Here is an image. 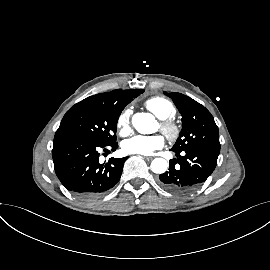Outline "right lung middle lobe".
Instances as JSON below:
<instances>
[{
    "label": "right lung middle lobe",
    "mask_w": 270,
    "mask_h": 270,
    "mask_svg": "<svg viewBox=\"0 0 270 270\" xmlns=\"http://www.w3.org/2000/svg\"><path fill=\"white\" fill-rule=\"evenodd\" d=\"M121 110L92 96L76 103L64 115L55 137L72 135L88 138L101 145L116 142L117 121Z\"/></svg>",
    "instance_id": "dd1d6c3e"
}]
</instances>
